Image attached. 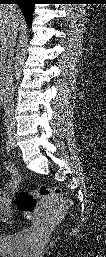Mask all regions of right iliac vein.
<instances>
[{
  "label": "right iliac vein",
  "instance_id": "63e3f726",
  "mask_svg": "<svg viewBox=\"0 0 106 257\" xmlns=\"http://www.w3.org/2000/svg\"><path fill=\"white\" fill-rule=\"evenodd\" d=\"M8 141L10 142L12 147L15 146V139H14V136L12 134H9Z\"/></svg>",
  "mask_w": 106,
  "mask_h": 257
}]
</instances>
